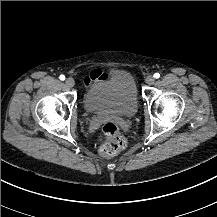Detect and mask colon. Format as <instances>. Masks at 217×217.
Segmentation results:
<instances>
[{
  "instance_id": "obj_1",
  "label": "colon",
  "mask_w": 217,
  "mask_h": 217,
  "mask_svg": "<svg viewBox=\"0 0 217 217\" xmlns=\"http://www.w3.org/2000/svg\"><path fill=\"white\" fill-rule=\"evenodd\" d=\"M103 133L108 140L101 150L103 155H113L118 153L125 144L123 137L119 134V126L114 121L106 122L103 125Z\"/></svg>"
}]
</instances>
